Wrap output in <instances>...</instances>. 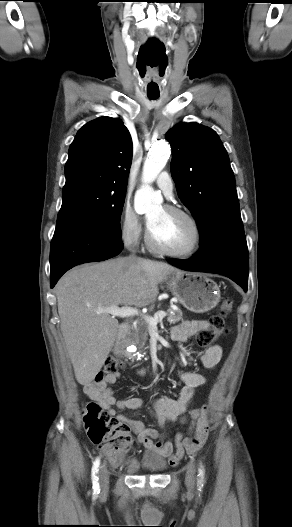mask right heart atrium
<instances>
[{
	"mask_svg": "<svg viewBox=\"0 0 292 527\" xmlns=\"http://www.w3.org/2000/svg\"><path fill=\"white\" fill-rule=\"evenodd\" d=\"M120 231L123 241L130 245L137 244L141 237L142 226L140 219L128 203H125L121 210Z\"/></svg>",
	"mask_w": 292,
	"mask_h": 527,
	"instance_id": "obj_1",
	"label": "right heart atrium"
}]
</instances>
